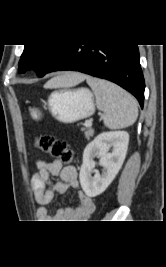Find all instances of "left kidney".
I'll return each mask as SVG.
<instances>
[{"instance_id": "left-kidney-1", "label": "left kidney", "mask_w": 166, "mask_h": 267, "mask_svg": "<svg viewBox=\"0 0 166 267\" xmlns=\"http://www.w3.org/2000/svg\"><path fill=\"white\" fill-rule=\"evenodd\" d=\"M128 143L129 134L126 131H111L99 134L86 146L79 179L87 196L95 197L111 184L124 162ZM96 156L100 157L99 163L104 170L102 174L92 176Z\"/></svg>"}]
</instances>
